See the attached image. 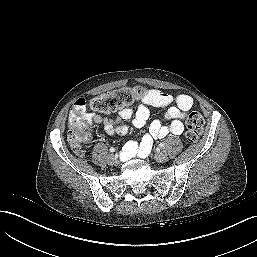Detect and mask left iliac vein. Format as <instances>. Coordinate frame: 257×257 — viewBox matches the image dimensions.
<instances>
[{
  "label": "left iliac vein",
  "instance_id": "left-iliac-vein-1",
  "mask_svg": "<svg viewBox=\"0 0 257 257\" xmlns=\"http://www.w3.org/2000/svg\"><path fill=\"white\" fill-rule=\"evenodd\" d=\"M154 159L157 161V162H166L168 160V156L166 153H163V152H159L157 154H155L154 156Z\"/></svg>",
  "mask_w": 257,
  "mask_h": 257
}]
</instances>
